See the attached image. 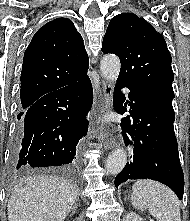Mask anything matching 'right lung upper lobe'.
<instances>
[{"label":"right lung upper lobe","instance_id":"obj_1","mask_svg":"<svg viewBox=\"0 0 190 221\" xmlns=\"http://www.w3.org/2000/svg\"><path fill=\"white\" fill-rule=\"evenodd\" d=\"M83 39L73 22L58 18L41 27L27 47L21 72V108L87 76Z\"/></svg>","mask_w":190,"mask_h":221}]
</instances>
